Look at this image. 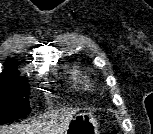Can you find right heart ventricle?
I'll list each match as a JSON object with an SVG mask.
<instances>
[{
  "label": "right heart ventricle",
  "instance_id": "obj_1",
  "mask_svg": "<svg viewBox=\"0 0 153 134\" xmlns=\"http://www.w3.org/2000/svg\"><path fill=\"white\" fill-rule=\"evenodd\" d=\"M69 79L73 86L78 89L88 90L91 88V80L89 76L78 68H75L70 72Z\"/></svg>",
  "mask_w": 153,
  "mask_h": 134
}]
</instances>
